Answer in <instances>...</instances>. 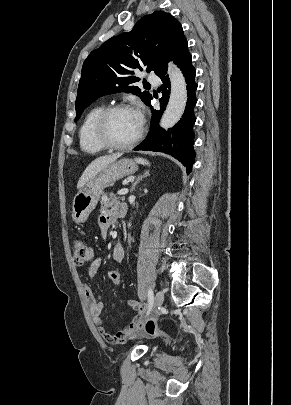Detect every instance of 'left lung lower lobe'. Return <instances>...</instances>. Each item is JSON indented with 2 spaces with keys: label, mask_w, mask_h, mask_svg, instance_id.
<instances>
[{
  "label": "left lung lower lobe",
  "mask_w": 291,
  "mask_h": 405,
  "mask_svg": "<svg viewBox=\"0 0 291 405\" xmlns=\"http://www.w3.org/2000/svg\"><path fill=\"white\" fill-rule=\"evenodd\" d=\"M169 60H173L175 64L182 70L187 83V102L185 111L179 122L168 129L167 131L159 127V119L163 114L169 99L170 81L167 74V63L161 67L157 74L163 83V96L160 98V110H153L151 101L148 104L152 109V121L150 132L146 139L137 146L134 150L163 152L172 155L187 167V174L191 172L192 165L195 159V151L193 149L194 133L192 131L193 124L196 118L193 114V107L196 103L195 91L197 84L195 83L196 70L192 66V57L188 51V42L186 38L176 47ZM165 87V88H164ZM152 100V99H151Z\"/></svg>",
  "instance_id": "0a47b994"
}]
</instances>
